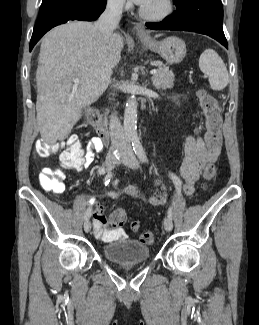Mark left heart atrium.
<instances>
[{"mask_svg": "<svg viewBox=\"0 0 259 325\" xmlns=\"http://www.w3.org/2000/svg\"><path fill=\"white\" fill-rule=\"evenodd\" d=\"M133 1L139 5L146 6L147 4L150 3L151 0H133Z\"/></svg>", "mask_w": 259, "mask_h": 325, "instance_id": "39dd6f15", "label": "left heart atrium"}]
</instances>
